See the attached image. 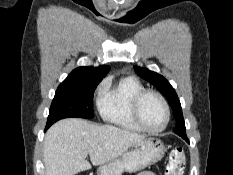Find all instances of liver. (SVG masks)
Instances as JSON below:
<instances>
[{
    "label": "liver",
    "instance_id": "obj_1",
    "mask_svg": "<svg viewBox=\"0 0 233 175\" xmlns=\"http://www.w3.org/2000/svg\"><path fill=\"white\" fill-rule=\"evenodd\" d=\"M144 135L112 125H97L79 118L53 124L44 139L45 175H75L123 155Z\"/></svg>",
    "mask_w": 233,
    "mask_h": 175
}]
</instances>
